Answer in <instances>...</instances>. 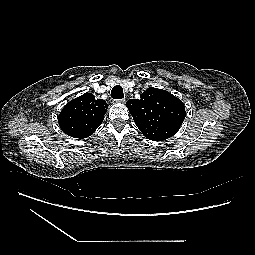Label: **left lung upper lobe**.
<instances>
[{
  "label": "left lung upper lobe",
  "instance_id": "5c2ea615",
  "mask_svg": "<svg viewBox=\"0 0 255 255\" xmlns=\"http://www.w3.org/2000/svg\"><path fill=\"white\" fill-rule=\"evenodd\" d=\"M126 106L143 135L152 141L170 138L185 119L183 102L166 90L150 87L140 99H129Z\"/></svg>",
  "mask_w": 255,
  "mask_h": 255
}]
</instances>
